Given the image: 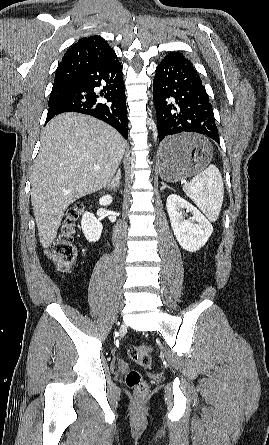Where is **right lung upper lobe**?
Here are the masks:
<instances>
[{"mask_svg": "<svg viewBox=\"0 0 269 445\" xmlns=\"http://www.w3.org/2000/svg\"><path fill=\"white\" fill-rule=\"evenodd\" d=\"M115 57L114 50L100 36L81 38L62 58L55 73L53 87L65 86L83 71Z\"/></svg>", "mask_w": 269, "mask_h": 445, "instance_id": "1", "label": "right lung upper lobe"}]
</instances>
